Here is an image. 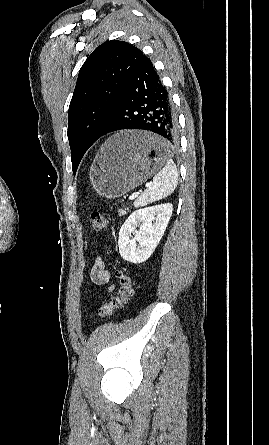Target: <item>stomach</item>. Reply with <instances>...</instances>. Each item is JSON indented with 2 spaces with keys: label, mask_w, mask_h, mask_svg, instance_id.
Instances as JSON below:
<instances>
[{
  "label": "stomach",
  "mask_w": 269,
  "mask_h": 445,
  "mask_svg": "<svg viewBox=\"0 0 269 445\" xmlns=\"http://www.w3.org/2000/svg\"><path fill=\"white\" fill-rule=\"evenodd\" d=\"M167 151V142L149 132H119L99 149L90 170L91 184L102 197H121L160 170Z\"/></svg>",
  "instance_id": "1"
}]
</instances>
